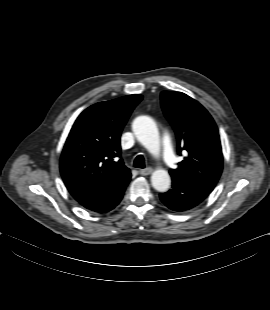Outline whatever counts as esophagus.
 I'll return each instance as SVG.
<instances>
[{"mask_svg": "<svg viewBox=\"0 0 270 310\" xmlns=\"http://www.w3.org/2000/svg\"><path fill=\"white\" fill-rule=\"evenodd\" d=\"M153 169L148 167V168H145V169H141L139 171V173L143 176H147V175H150L152 173Z\"/></svg>", "mask_w": 270, "mask_h": 310, "instance_id": "esophagus-1", "label": "esophagus"}]
</instances>
